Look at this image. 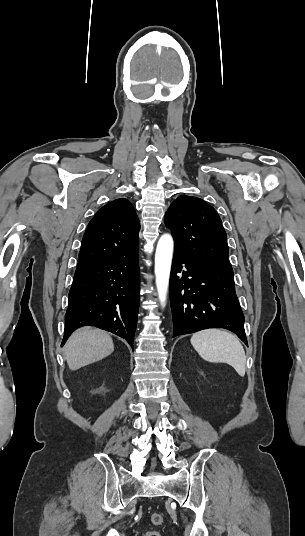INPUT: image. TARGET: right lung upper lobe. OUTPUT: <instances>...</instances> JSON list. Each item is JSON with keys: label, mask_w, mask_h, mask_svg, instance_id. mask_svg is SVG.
<instances>
[{"label": "right lung upper lobe", "mask_w": 305, "mask_h": 536, "mask_svg": "<svg viewBox=\"0 0 305 536\" xmlns=\"http://www.w3.org/2000/svg\"><path fill=\"white\" fill-rule=\"evenodd\" d=\"M139 219L125 198L103 206L89 222L77 268L138 252Z\"/></svg>", "instance_id": "obj_1"}]
</instances>
